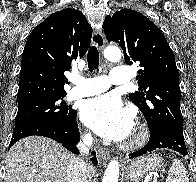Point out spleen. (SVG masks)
<instances>
[{
	"label": "spleen",
	"instance_id": "1",
	"mask_svg": "<svg viewBox=\"0 0 196 182\" xmlns=\"http://www.w3.org/2000/svg\"><path fill=\"white\" fill-rule=\"evenodd\" d=\"M166 182H189L187 170L179 159L172 161Z\"/></svg>",
	"mask_w": 196,
	"mask_h": 182
}]
</instances>
